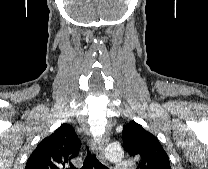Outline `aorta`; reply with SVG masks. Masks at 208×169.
I'll return each mask as SVG.
<instances>
[{
	"mask_svg": "<svg viewBox=\"0 0 208 169\" xmlns=\"http://www.w3.org/2000/svg\"><path fill=\"white\" fill-rule=\"evenodd\" d=\"M106 156L110 161H119L123 157L121 147L110 145L106 148Z\"/></svg>",
	"mask_w": 208,
	"mask_h": 169,
	"instance_id": "1",
	"label": "aorta"
}]
</instances>
